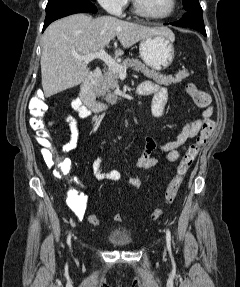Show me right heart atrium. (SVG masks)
<instances>
[{"mask_svg": "<svg viewBox=\"0 0 240 287\" xmlns=\"http://www.w3.org/2000/svg\"><path fill=\"white\" fill-rule=\"evenodd\" d=\"M101 7L114 16L123 14L128 0H97Z\"/></svg>", "mask_w": 240, "mask_h": 287, "instance_id": "d8ad5b80", "label": "right heart atrium"}]
</instances>
